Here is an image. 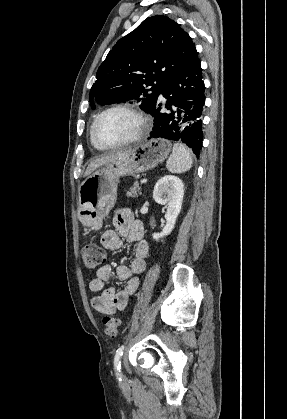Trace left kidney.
I'll return each mask as SVG.
<instances>
[{
  "label": "left kidney",
  "instance_id": "obj_1",
  "mask_svg": "<svg viewBox=\"0 0 287 419\" xmlns=\"http://www.w3.org/2000/svg\"><path fill=\"white\" fill-rule=\"evenodd\" d=\"M184 195V185L180 178L173 175H165L160 178L153 190V199L158 204L167 208L165 214L166 225L160 233H153L154 240L169 235L174 229L177 217L181 211Z\"/></svg>",
  "mask_w": 287,
  "mask_h": 419
}]
</instances>
